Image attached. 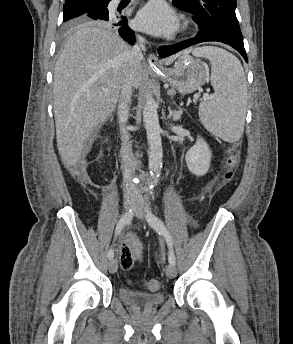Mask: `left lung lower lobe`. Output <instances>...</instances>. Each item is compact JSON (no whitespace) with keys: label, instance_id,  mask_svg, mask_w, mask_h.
<instances>
[{"label":"left lung lower lobe","instance_id":"obj_1","mask_svg":"<svg viewBox=\"0 0 293 344\" xmlns=\"http://www.w3.org/2000/svg\"><path fill=\"white\" fill-rule=\"evenodd\" d=\"M222 42L224 44L230 45L236 49L242 57L248 62L246 51L244 48L243 41L236 40L235 38L216 30H200L199 33L192 39L180 42L178 44L170 46H161L158 48L159 56L162 58L168 57L175 54L189 46L202 43V42Z\"/></svg>","mask_w":293,"mask_h":344}]
</instances>
